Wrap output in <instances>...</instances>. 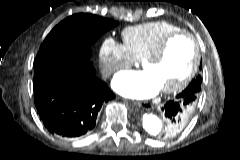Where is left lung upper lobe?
<instances>
[{
  "label": "left lung upper lobe",
  "mask_w": 240,
  "mask_h": 160,
  "mask_svg": "<svg viewBox=\"0 0 240 160\" xmlns=\"http://www.w3.org/2000/svg\"><path fill=\"white\" fill-rule=\"evenodd\" d=\"M196 84V92L199 93L200 91V86H201V82H202V78L201 76L199 75L198 77H196L190 84ZM189 84V85H190ZM193 114V110H190L184 114H182V118H183V121L185 124H183V126L179 127V128H176L175 130L171 129L170 128V124L167 120V127H166V131L165 133L162 135V137H170V136H174L175 134L179 133L185 126L186 124L188 123V121L191 119V116Z\"/></svg>",
  "instance_id": "obj_1"
}]
</instances>
